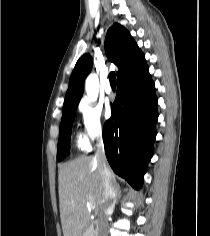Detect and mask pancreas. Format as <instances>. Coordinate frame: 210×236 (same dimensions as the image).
Segmentation results:
<instances>
[{"label": "pancreas", "mask_w": 210, "mask_h": 236, "mask_svg": "<svg viewBox=\"0 0 210 236\" xmlns=\"http://www.w3.org/2000/svg\"><path fill=\"white\" fill-rule=\"evenodd\" d=\"M84 236H97V230L90 225L86 230Z\"/></svg>", "instance_id": "pancreas-1"}]
</instances>
